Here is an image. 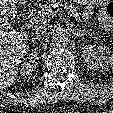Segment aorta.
<instances>
[{
    "mask_svg": "<svg viewBox=\"0 0 113 113\" xmlns=\"http://www.w3.org/2000/svg\"><path fill=\"white\" fill-rule=\"evenodd\" d=\"M51 38L53 45L66 46L70 42V33L64 28H57Z\"/></svg>",
    "mask_w": 113,
    "mask_h": 113,
    "instance_id": "1",
    "label": "aorta"
}]
</instances>
